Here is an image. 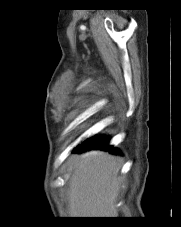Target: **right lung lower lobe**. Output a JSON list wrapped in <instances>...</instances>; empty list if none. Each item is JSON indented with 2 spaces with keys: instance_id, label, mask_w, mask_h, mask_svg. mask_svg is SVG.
<instances>
[{
  "instance_id": "obj_1",
  "label": "right lung lower lobe",
  "mask_w": 181,
  "mask_h": 227,
  "mask_svg": "<svg viewBox=\"0 0 181 227\" xmlns=\"http://www.w3.org/2000/svg\"><path fill=\"white\" fill-rule=\"evenodd\" d=\"M108 143L109 139L107 137H92L82 142L74 150L80 152L90 149H108L109 151L116 152L117 150L110 146Z\"/></svg>"
}]
</instances>
